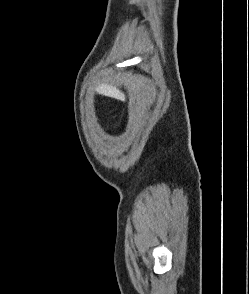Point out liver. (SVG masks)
<instances>
[{"label":"liver","instance_id":"liver-1","mask_svg":"<svg viewBox=\"0 0 249 294\" xmlns=\"http://www.w3.org/2000/svg\"><path fill=\"white\" fill-rule=\"evenodd\" d=\"M99 91L103 93L104 95H107L110 97L119 98V99L125 98L124 94L121 91H119L116 87H113L107 84L100 85Z\"/></svg>","mask_w":249,"mask_h":294}]
</instances>
